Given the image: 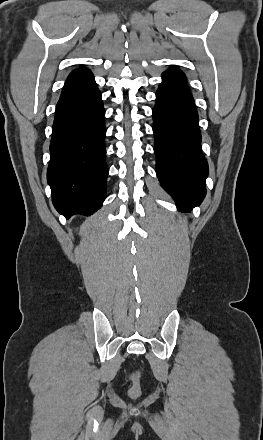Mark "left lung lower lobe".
<instances>
[{
	"label": "left lung lower lobe",
	"mask_w": 263,
	"mask_h": 440,
	"mask_svg": "<svg viewBox=\"0 0 263 440\" xmlns=\"http://www.w3.org/2000/svg\"><path fill=\"white\" fill-rule=\"evenodd\" d=\"M152 113L158 179L178 210L189 212L205 197L208 164L201 151L194 99L179 69L163 73Z\"/></svg>",
	"instance_id": "left-lung-lower-lobe-1"
}]
</instances>
